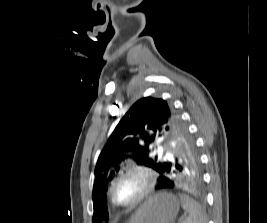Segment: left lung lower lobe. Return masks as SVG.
<instances>
[{"label":"left lung lower lobe","instance_id":"1","mask_svg":"<svg viewBox=\"0 0 267 223\" xmlns=\"http://www.w3.org/2000/svg\"><path fill=\"white\" fill-rule=\"evenodd\" d=\"M202 171H169L168 173H158L160 182L154 188L155 192H169L170 194H180V189H199Z\"/></svg>","mask_w":267,"mask_h":223}]
</instances>
